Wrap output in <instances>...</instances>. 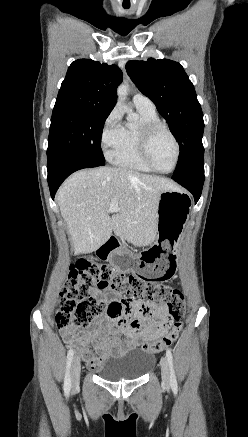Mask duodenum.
<instances>
[{"instance_id":"1","label":"duodenum","mask_w":248,"mask_h":437,"mask_svg":"<svg viewBox=\"0 0 248 437\" xmlns=\"http://www.w3.org/2000/svg\"><path fill=\"white\" fill-rule=\"evenodd\" d=\"M120 246L119 240L116 236H110L100 248H95V257H107L110 252L116 250Z\"/></svg>"}]
</instances>
